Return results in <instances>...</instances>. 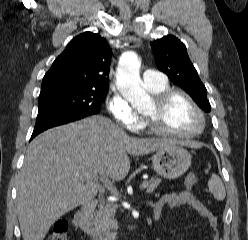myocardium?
<instances>
[{"label": "myocardium", "mask_w": 248, "mask_h": 240, "mask_svg": "<svg viewBox=\"0 0 248 240\" xmlns=\"http://www.w3.org/2000/svg\"><path fill=\"white\" fill-rule=\"evenodd\" d=\"M175 96H182L190 103V105L194 108V110L196 111V113L198 114L200 118V121H201L200 127L197 130L188 132V133L170 131V130L163 129L160 126H158L153 116L145 114V120H146V125L148 129L157 135L165 136V137H172V138L189 139V138H194V137L199 136L205 130L206 117H205L203 110L198 105V103L186 91L181 90V89L168 88L157 94H154L153 100H154L156 109L163 110L167 106L168 102Z\"/></svg>", "instance_id": "f54148a6"}]
</instances>
